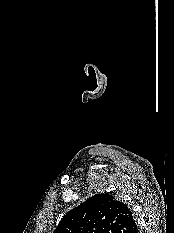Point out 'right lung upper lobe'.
Segmentation results:
<instances>
[{
  "instance_id": "obj_1",
  "label": "right lung upper lobe",
  "mask_w": 174,
  "mask_h": 233,
  "mask_svg": "<svg viewBox=\"0 0 174 233\" xmlns=\"http://www.w3.org/2000/svg\"><path fill=\"white\" fill-rule=\"evenodd\" d=\"M132 212L109 193H100L67 212L53 233H137Z\"/></svg>"
}]
</instances>
